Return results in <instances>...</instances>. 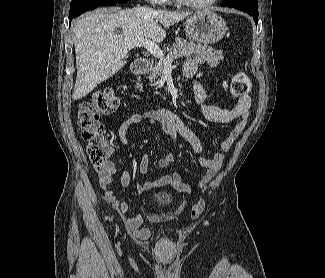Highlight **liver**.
<instances>
[{
    "label": "liver",
    "mask_w": 325,
    "mask_h": 278,
    "mask_svg": "<svg viewBox=\"0 0 325 278\" xmlns=\"http://www.w3.org/2000/svg\"><path fill=\"white\" fill-rule=\"evenodd\" d=\"M191 14L137 6L99 9L82 16L73 28L77 77L72 98L87 96L127 63L124 46L128 41L146 38L161 42L166 28Z\"/></svg>",
    "instance_id": "liver-1"
}]
</instances>
